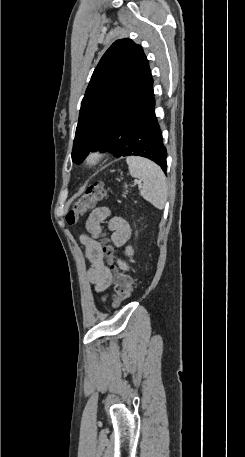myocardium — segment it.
Masks as SVG:
<instances>
[{"label":"myocardium","instance_id":"f54148a6","mask_svg":"<svg viewBox=\"0 0 245 457\" xmlns=\"http://www.w3.org/2000/svg\"><path fill=\"white\" fill-rule=\"evenodd\" d=\"M101 157L102 155L99 152L90 153L85 160L86 164L89 166H94L100 161Z\"/></svg>","mask_w":245,"mask_h":457}]
</instances>
